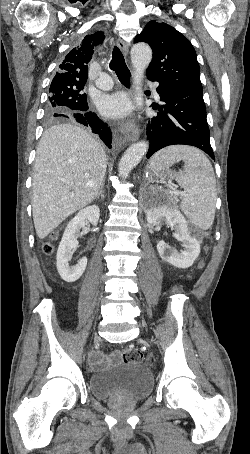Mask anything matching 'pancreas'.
<instances>
[{"label": "pancreas", "instance_id": "cf45deb5", "mask_svg": "<svg viewBox=\"0 0 250 454\" xmlns=\"http://www.w3.org/2000/svg\"><path fill=\"white\" fill-rule=\"evenodd\" d=\"M167 195H168V199H169L170 201H172V202H174V203L177 202V200H178L177 195H175V194H173V193H170V192H168Z\"/></svg>", "mask_w": 250, "mask_h": 454}]
</instances>
